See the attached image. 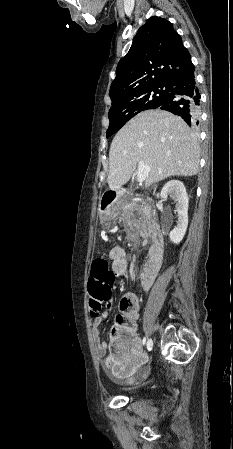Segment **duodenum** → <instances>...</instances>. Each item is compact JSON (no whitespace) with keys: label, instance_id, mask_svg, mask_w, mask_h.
<instances>
[{"label":"duodenum","instance_id":"1","mask_svg":"<svg viewBox=\"0 0 233 449\" xmlns=\"http://www.w3.org/2000/svg\"><path fill=\"white\" fill-rule=\"evenodd\" d=\"M124 193V188L122 186H114L112 191H105L104 197L101 200V208L106 210L109 206H115L116 200H118L119 195ZM125 195H129L128 192ZM149 237L151 240V246L147 253L146 263L142 272H155L158 274L164 256V243L161 227L152 223L149 226Z\"/></svg>","mask_w":233,"mask_h":449}]
</instances>
